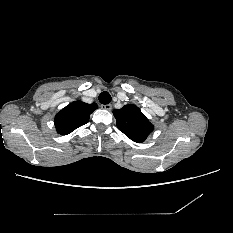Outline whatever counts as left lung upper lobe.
<instances>
[{
  "label": "left lung upper lobe",
  "instance_id": "obj_1",
  "mask_svg": "<svg viewBox=\"0 0 233 233\" xmlns=\"http://www.w3.org/2000/svg\"><path fill=\"white\" fill-rule=\"evenodd\" d=\"M113 114L118 129L137 143L143 142L153 130L152 124L135 105L115 109Z\"/></svg>",
  "mask_w": 233,
  "mask_h": 233
}]
</instances>
